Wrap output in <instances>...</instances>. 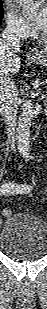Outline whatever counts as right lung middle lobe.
I'll list each match as a JSON object with an SVG mask.
<instances>
[{
	"label": "right lung middle lobe",
	"instance_id": "right-lung-middle-lobe-1",
	"mask_svg": "<svg viewBox=\"0 0 47 309\" xmlns=\"http://www.w3.org/2000/svg\"><path fill=\"white\" fill-rule=\"evenodd\" d=\"M3 18V9H2V4L0 2V19Z\"/></svg>",
	"mask_w": 47,
	"mask_h": 309
}]
</instances>
